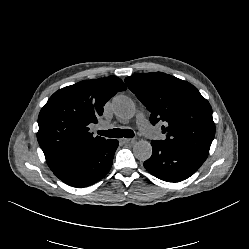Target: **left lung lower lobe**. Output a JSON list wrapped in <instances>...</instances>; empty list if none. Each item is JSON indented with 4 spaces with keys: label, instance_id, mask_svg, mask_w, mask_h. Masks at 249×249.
I'll use <instances>...</instances> for the list:
<instances>
[{
    "label": "left lung lower lobe",
    "instance_id": "0a47b994",
    "mask_svg": "<svg viewBox=\"0 0 249 249\" xmlns=\"http://www.w3.org/2000/svg\"><path fill=\"white\" fill-rule=\"evenodd\" d=\"M153 153L144 162L146 170L155 177L168 182H179L194 174L206 160L207 155L151 141Z\"/></svg>",
    "mask_w": 249,
    "mask_h": 249
}]
</instances>
